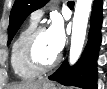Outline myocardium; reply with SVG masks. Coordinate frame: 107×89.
Returning <instances> with one entry per match:
<instances>
[{
    "label": "myocardium",
    "instance_id": "myocardium-1",
    "mask_svg": "<svg viewBox=\"0 0 107 89\" xmlns=\"http://www.w3.org/2000/svg\"><path fill=\"white\" fill-rule=\"evenodd\" d=\"M48 31L44 26H38L28 37L24 46L23 58L25 65L32 71L41 74L54 69L61 61V55L57 57L50 64L42 63L36 55V44L39 36Z\"/></svg>",
    "mask_w": 107,
    "mask_h": 89
}]
</instances>
